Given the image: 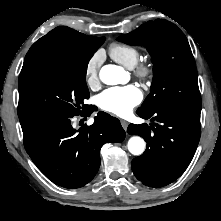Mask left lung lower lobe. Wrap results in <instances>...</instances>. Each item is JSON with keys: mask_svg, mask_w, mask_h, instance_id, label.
<instances>
[{"mask_svg": "<svg viewBox=\"0 0 221 221\" xmlns=\"http://www.w3.org/2000/svg\"><path fill=\"white\" fill-rule=\"evenodd\" d=\"M200 112L166 104L136 111L141 118L159 122L150 126L130 124L127 129L147 142L145 152L132 160L138 180L150 187H162L183 174L199 143Z\"/></svg>", "mask_w": 221, "mask_h": 221, "instance_id": "left-lung-lower-lobe-1", "label": "left lung lower lobe"}]
</instances>
